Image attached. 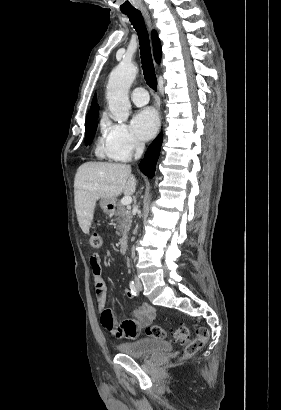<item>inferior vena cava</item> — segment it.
I'll return each instance as SVG.
<instances>
[{"instance_id":"inferior-vena-cava-1","label":"inferior vena cava","mask_w":281,"mask_h":410,"mask_svg":"<svg viewBox=\"0 0 281 410\" xmlns=\"http://www.w3.org/2000/svg\"><path fill=\"white\" fill-rule=\"evenodd\" d=\"M143 151H144V143H142V142H137V143H136V152H135V155H134L135 160H137V159H139V158L141 157ZM135 280L137 281L138 278L135 277Z\"/></svg>"}]
</instances>
